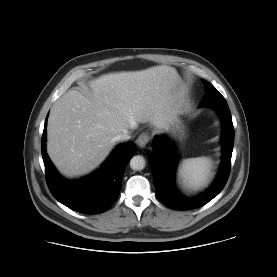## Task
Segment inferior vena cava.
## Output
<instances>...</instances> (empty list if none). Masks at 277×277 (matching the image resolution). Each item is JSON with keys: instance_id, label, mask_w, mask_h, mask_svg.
<instances>
[{"instance_id": "1", "label": "inferior vena cava", "mask_w": 277, "mask_h": 277, "mask_svg": "<svg viewBox=\"0 0 277 277\" xmlns=\"http://www.w3.org/2000/svg\"><path fill=\"white\" fill-rule=\"evenodd\" d=\"M130 138H131L130 133H129V131L126 130V131H124V132L118 134V135L115 137V140H116V141H119V140L125 141V140H128V139H130Z\"/></svg>"}]
</instances>
